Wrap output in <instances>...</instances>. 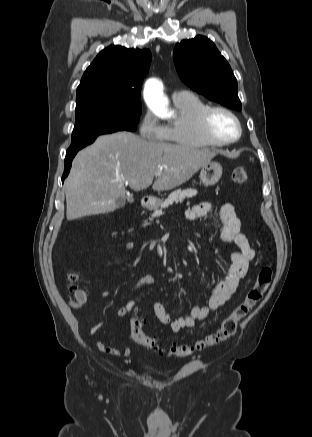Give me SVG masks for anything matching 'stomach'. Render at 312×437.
I'll list each match as a JSON object with an SVG mask.
<instances>
[{"label": "stomach", "mask_w": 312, "mask_h": 437, "mask_svg": "<svg viewBox=\"0 0 312 437\" xmlns=\"http://www.w3.org/2000/svg\"><path fill=\"white\" fill-rule=\"evenodd\" d=\"M222 176V166L218 162L210 161L203 165L200 171V180L205 186L215 185ZM161 201L155 199L151 202L150 207L152 209L157 208Z\"/></svg>", "instance_id": "0dacf381"}]
</instances>
